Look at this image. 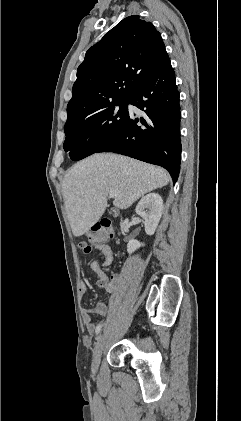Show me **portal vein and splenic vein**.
<instances>
[{
  "label": "portal vein and splenic vein",
  "mask_w": 241,
  "mask_h": 421,
  "mask_svg": "<svg viewBox=\"0 0 241 421\" xmlns=\"http://www.w3.org/2000/svg\"><path fill=\"white\" fill-rule=\"evenodd\" d=\"M110 198H116L117 197V193L115 191H111L109 193Z\"/></svg>",
  "instance_id": "18ae733b"
}]
</instances>
